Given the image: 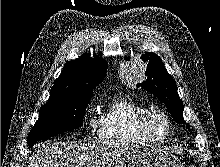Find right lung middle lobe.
<instances>
[{
  "mask_svg": "<svg viewBox=\"0 0 220 167\" xmlns=\"http://www.w3.org/2000/svg\"><path fill=\"white\" fill-rule=\"evenodd\" d=\"M93 93H79L49 99L28 135V145L82 126L85 109Z\"/></svg>",
  "mask_w": 220,
  "mask_h": 167,
  "instance_id": "1",
  "label": "right lung middle lobe"
}]
</instances>
